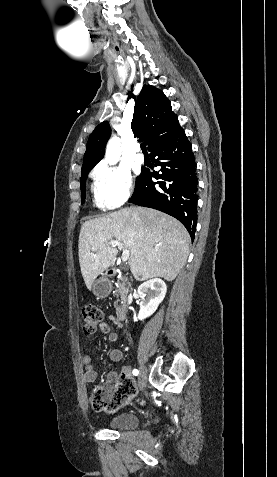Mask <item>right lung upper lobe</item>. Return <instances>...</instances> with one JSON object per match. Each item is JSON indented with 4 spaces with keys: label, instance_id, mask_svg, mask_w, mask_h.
Masks as SVG:
<instances>
[{
    "label": "right lung upper lobe",
    "instance_id": "1",
    "mask_svg": "<svg viewBox=\"0 0 277 477\" xmlns=\"http://www.w3.org/2000/svg\"><path fill=\"white\" fill-rule=\"evenodd\" d=\"M180 128L178 117L164 93L154 86L144 85L137 97L131 122L134 136L146 141L151 151ZM110 135L108 122H102L94 129L88 139L82 170L93 168L103 158Z\"/></svg>",
    "mask_w": 277,
    "mask_h": 477
}]
</instances>
